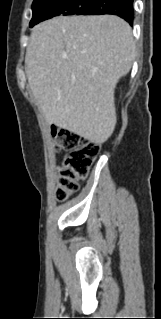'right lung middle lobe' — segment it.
<instances>
[{
	"label": "right lung middle lobe",
	"mask_w": 161,
	"mask_h": 319,
	"mask_svg": "<svg viewBox=\"0 0 161 319\" xmlns=\"http://www.w3.org/2000/svg\"><path fill=\"white\" fill-rule=\"evenodd\" d=\"M90 2L91 0H34L30 27L55 16L75 15Z\"/></svg>",
	"instance_id": "obj_1"
}]
</instances>
